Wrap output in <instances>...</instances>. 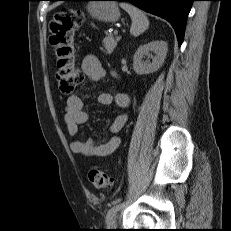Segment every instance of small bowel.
Masks as SVG:
<instances>
[{
  "label": "small bowel",
  "mask_w": 231,
  "mask_h": 231,
  "mask_svg": "<svg viewBox=\"0 0 231 231\" xmlns=\"http://www.w3.org/2000/svg\"><path fill=\"white\" fill-rule=\"evenodd\" d=\"M83 72L91 81H99L102 79L106 71L100 60L94 55H87L82 60ZM116 75V72H112ZM98 101L102 105H110L112 102L121 108L129 105L130 99L127 94L120 93L114 97L109 93H101ZM128 119L126 113L118 115L109 127L111 135L105 140L96 138H88L86 140H75L70 143V149L74 154L88 156L94 158L106 157L112 154L121 143L117 133L124 127ZM67 133L70 137H74L78 133L80 125L85 124L88 120V113L82 98L77 94H72L67 98L64 116Z\"/></svg>",
  "instance_id": "obj_1"
}]
</instances>
